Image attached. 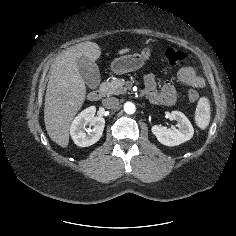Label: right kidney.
<instances>
[{
  "label": "right kidney",
  "mask_w": 236,
  "mask_h": 236,
  "mask_svg": "<svg viewBox=\"0 0 236 236\" xmlns=\"http://www.w3.org/2000/svg\"><path fill=\"white\" fill-rule=\"evenodd\" d=\"M95 112L96 108L90 106L73 120L70 127V134L77 146L88 147L101 138L105 127V120L101 116H95Z\"/></svg>",
  "instance_id": "1"
}]
</instances>
